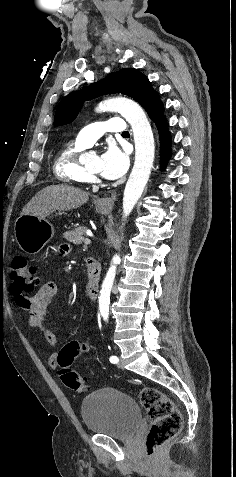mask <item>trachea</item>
<instances>
[{
  "mask_svg": "<svg viewBox=\"0 0 236 477\" xmlns=\"http://www.w3.org/2000/svg\"><path fill=\"white\" fill-rule=\"evenodd\" d=\"M122 134H123V135H125V134H129V132H128V131H125V132H124V133H122Z\"/></svg>",
  "mask_w": 236,
  "mask_h": 477,
  "instance_id": "trachea-1",
  "label": "trachea"
}]
</instances>
